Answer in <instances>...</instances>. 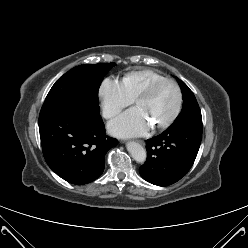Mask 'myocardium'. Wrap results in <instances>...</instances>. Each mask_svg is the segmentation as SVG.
Segmentation results:
<instances>
[{"instance_id":"obj_1","label":"myocardium","mask_w":248,"mask_h":248,"mask_svg":"<svg viewBox=\"0 0 248 248\" xmlns=\"http://www.w3.org/2000/svg\"><path fill=\"white\" fill-rule=\"evenodd\" d=\"M161 83H171L174 85V87L176 88V91H177V104H176V108H175L174 112L171 114V116L169 118H167L166 120H164L163 122H160L158 124H154L155 128H166L169 125H171L179 116L181 109H182V105H183V94H182V90H181L179 84L174 79L162 78V79H159V80H156V81L150 83L143 91H141L134 98L135 104L147 99L152 94L154 89Z\"/></svg>"}]
</instances>
